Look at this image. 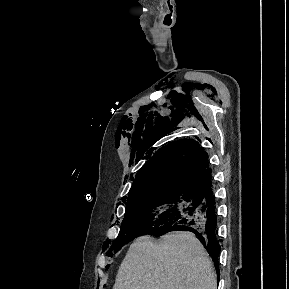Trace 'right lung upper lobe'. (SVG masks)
I'll list each match as a JSON object with an SVG mask.
<instances>
[{
  "instance_id": "cb5924a9",
  "label": "right lung upper lobe",
  "mask_w": 289,
  "mask_h": 289,
  "mask_svg": "<svg viewBox=\"0 0 289 289\" xmlns=\"http://www.w3.org/2000/svg\"><path fill=\"white\" fill-rule=\"evenodd\" d=\"M212 187L208 154L192 139L171 142L140 169L129 199L162 193L200 195Z\"/></svg>"
}]
</instances>
